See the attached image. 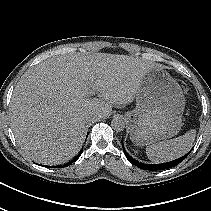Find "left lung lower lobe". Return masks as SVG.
<instances>
[{
  "instance_id": "obj_1",
  "label": "left lung lower lobe",
  "mask_w": 211,
  "mask_h": 211,
  "mask_svg": "<svg viewBox=\"0 0 211 211\" xmlns=\"http://www.w3.org/2000/svg\"><path fill=\"white\" fill-rule=\"evenodd\" d=\"M122 147H123V151H124V154L126 156V158L131 162L133 163L134 165H136L138 168L140 169H144V170H150V171H158V170H165V169H169V168H172V167H175L177 166L179 163H181L189 154L191 151H189L187 154H185L184 156L178 158V159H175L173 161H170V162H166V163H160V164H146V163H141V162H138L136 161L135 159H133L127 152L126 150L124 149V146H123V142H122Z\"/></svg>"
}]
</instances>
